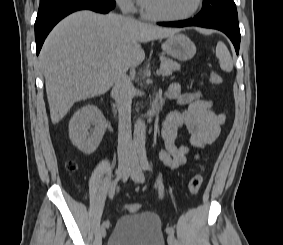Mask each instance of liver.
I'll return each instance as SVG.
<instances>
[{"instance_id": "6515ba94", "label": "liver", "mask_w": 283, "mask_h": 245, "mask_svg": "<svg viewBox=\"0 0 283 245\" xmlns=\"http://www.w3.org/2000/svg\"><path fill=\"white\" fill-rule=\"evenodd\" d=\"M178 30L114 13L75 12L58 23L39 55L53 124L74 103L106 93L122 72L145 58L141 43Z\"/></svg>"}]
</instances>
